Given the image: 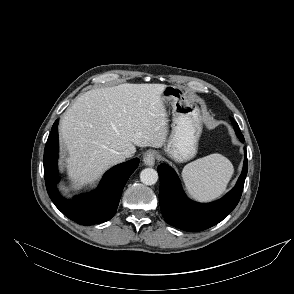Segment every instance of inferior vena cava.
I'll list each match as a JSON object with an SVG mask.
<instances>
[{
    "instance_id": "inferior-vena-cava-1",
    "label": "inferior vena cava",
    "mask_w": 294,
    "mask_h": 294,
    "mask_svg": "<svg viewBox=\"0 0 294 294\" xmlns=\"http://www.w3.org/2000/svg\"><path fill=\"white\" fill-rule=\"evenodd\" d=\"M121 154L124 158H129L133 156V152H131L129 149L124 150Z\"/></svg>"
}]
</instances>
